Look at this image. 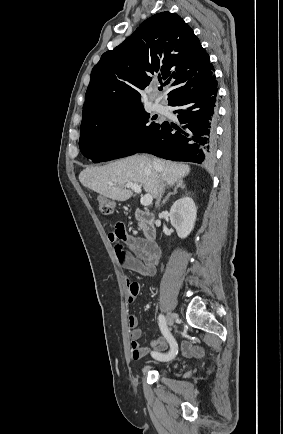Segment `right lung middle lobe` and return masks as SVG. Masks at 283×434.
Returning <instances> with one entry per match:
<instances>
[{
    "label": "right lung middle lobe",
    "instance_id": "obj_1",
    "mask_svg": "<svg viewBox=\"0 0 283 434\" xmlns=\"http://www.w3.org/2000/svg\"><path fill=\"white\" fill-rule=\"evenodd\" d=\"M153 119L139 107L80 129V151L95 163L133 155L159 129Z\"/></svg>",
    "mask_w": 283,
    "mask_h": 434
}]
</instances>
